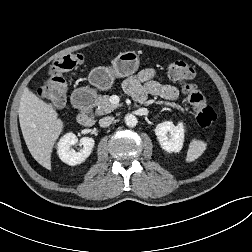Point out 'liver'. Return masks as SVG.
Wrapping results in <instances>:
<instances>
[{
    "label": "liver",
    "instance_id": "liver-1",
    "mask_svg": "<svg viewBox=\"0 0 252 252\" xmlns=\"http://www.w3.org/2000/svg\"><path fill=\"white\" fill-rule=\"evenodd\" d=\"M18 113L29 152L40 165L51 170V153L63 131V121L50 104L27 88L21 96Z\"/></svg>",
    "mask_w": 252,
    "mask_h": 252
}]
</instances>
